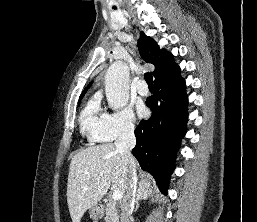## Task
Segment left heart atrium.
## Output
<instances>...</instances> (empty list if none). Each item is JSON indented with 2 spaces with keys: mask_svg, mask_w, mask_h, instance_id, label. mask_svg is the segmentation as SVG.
<instances>
[{
  "mask_svg": "<svg viewBox=\"0 0 257 222\" xmlns=\"http://www.w3.org/2000/svg\"><path fill=\"white\" fill-rule=\"evenodd\" d=\"M137 113L139 117H143L146 114V108L143 104L137 105Z\"/></svg>",
  "mask_w": 257,
  "mask_h": 222,
  "instance_id": "obj_1",
  "label": "left heart atrium"
}]
</instances>
